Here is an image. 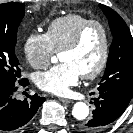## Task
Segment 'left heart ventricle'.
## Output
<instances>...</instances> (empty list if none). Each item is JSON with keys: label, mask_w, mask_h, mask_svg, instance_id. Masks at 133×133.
Returning a JSON list of instances; mask_svg holds the SVG:
<instances>
[{"label": "left heart ventricle", "mask_w": 133, "mask_h": 133, "mask_svg": "<svg viewBox=\"0 0 133 133\" xmlns=\"http://www.w3.org/2000/svg\"><path fill=\"white\" fill-rule=\"evenodd\" d=\"M103 41L102 31L93 26L87 30L81 44L76 49L60 54V60L72 63L81 75L90 72L100 61Z\"/></svg>", "instance_id": "1"}]
</instances>
